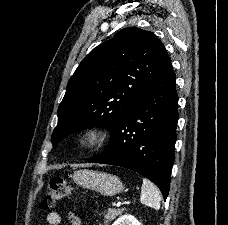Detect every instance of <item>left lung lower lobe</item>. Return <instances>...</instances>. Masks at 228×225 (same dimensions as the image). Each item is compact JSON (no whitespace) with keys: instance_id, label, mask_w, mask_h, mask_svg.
<instances>
[{"instance_id":"1","label":"left lung lower lobe","mask_w":228,"mask_h":225,"mask_svg":"<svg viewBox=\"0 0 228 225\" xmlns=\"http://www.w3.org/2000/svg\"><path fill=\"white\" fill-rule=\"evenodd\" d=\"M171 62L111 130L105 150L87 162L121 166L150 179L166 200L174 161L178 95Z\"/></svg>"}]
</instances>
